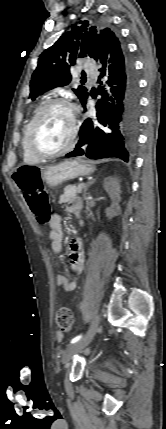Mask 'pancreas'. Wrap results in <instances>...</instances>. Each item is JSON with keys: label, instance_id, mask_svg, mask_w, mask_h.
<instances>
[{"label": "pancreas", "instance_id": "obj_1", "mask_svg": "<svg viewBox=\"0 0 166 429\" xmlns=\"http://www.w3.org/2000/svg\"><path fill=\"white\" fill-rule=\"evenodd\" d=\"M80 192H81V189H79L78 186H75V185L66 186L64 189V193L59 198V204L69 202Z\"/></svg>", "mask_w": 166, "mask_h": 429}]
</instances>
